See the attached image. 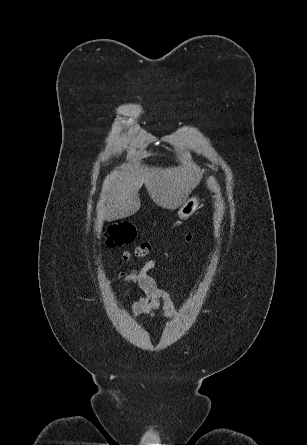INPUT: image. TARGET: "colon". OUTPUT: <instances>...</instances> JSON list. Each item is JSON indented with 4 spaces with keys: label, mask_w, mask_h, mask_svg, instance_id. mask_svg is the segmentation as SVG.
Wrapping results in <instances>:
<instances>
[{
    "label": "colon",
    "mask_w": 307,
    "mask_h": 445,
    "mask_svg": "<svg viewBox=\"0 0 307 445\" xmlns=\"http://www.w3.org/2000/svg\"><path fill=\"white\" fill-rule=\"evenodd\" d=\"M136 236L135 226L128 221H120L108 226L106 231V244L109 247H120L131 243ZM193 236L187 235L186 242L192 243ZM151 250V246L148 243H142L138 245L133 252H125L123 258L129 260L132 255L137 257H145Z\"/></svg>",
    "instance_id": "1"
}]
</instances>
